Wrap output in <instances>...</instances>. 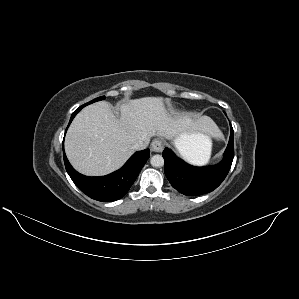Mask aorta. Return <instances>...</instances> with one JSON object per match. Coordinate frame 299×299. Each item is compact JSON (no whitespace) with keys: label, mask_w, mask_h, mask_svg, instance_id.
Instances as JSON below:
<instances>
[{"label":"aorta","mask_w":299,"mask_h":299,"mask_svg":"<svg viewBox=\"0 0 299 299\" xmlns=\"http://www.w3.org/2000/svg\"><path fill=\"white\" fill-rule=\"evenodd\" d=\"M150 163L153 167H162L164 165V159L162 155L156 154L151 157Z\"/></svg>","instance_id":"762f6f07"}]
</instances>
